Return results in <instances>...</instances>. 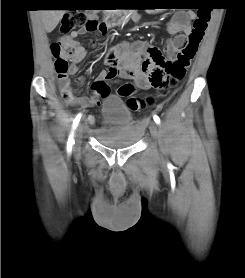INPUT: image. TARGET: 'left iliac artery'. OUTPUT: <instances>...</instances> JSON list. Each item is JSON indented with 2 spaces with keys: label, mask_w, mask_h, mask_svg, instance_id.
Returning a JSON list of instances; mask_svg holds the SVG:
<instances>
[{
  "label": "left iliac artery",
  "mask_w": 245,
  "mask_h": 278,
  "mask_svg": "<svg viewBox=\"0 0 245 278\" xmlns=\"http://www.w3.org/2000/svg\"><path fill=\"white\" fill-rule=\"evenodd\" d=\"M154 121L159 124L160 123V118L157 115L153 116Z\"/></svg>",
  "instance_id": "1"
}]
</instances>
